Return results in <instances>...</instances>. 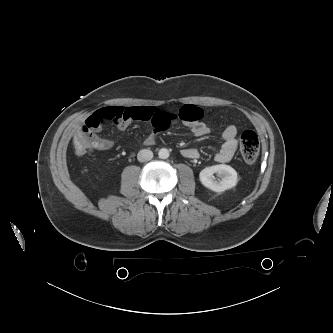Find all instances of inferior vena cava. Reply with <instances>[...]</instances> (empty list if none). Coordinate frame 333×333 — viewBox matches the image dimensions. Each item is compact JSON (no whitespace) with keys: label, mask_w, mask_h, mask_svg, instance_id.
Here are the masks:
<instances>
[{"label":"inferior vena cava","mask_w":333,"mask_h":333,"mask_svg":"<svg viewBox=\"0 0 333 333\" xmlns=\"http://www.w3.org/2000/svg\"><path fill=\"white\" fill-rule=\"evenodd\" d=\"M153 158V152L149 149H142L137 154L139 162H147Z\"/></svg>","instance_id":"inferior-vena-cava-1"}]
</instances>
